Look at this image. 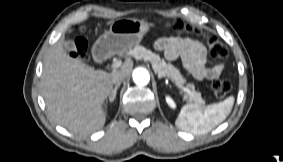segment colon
I'll return each mask as SVG.
<instances>
[{
	"mask_svg": "<svg viewBox=\"0 0 283 162\" xmlns=\"http://www.w3.org/2000/svg\"><path fill=\"white\" fill-rule=\"evenodd\" d=\"M167 27L177 34H195L202 36L208 45L209 52L214 58H225L228 54L226 46L218 40L217 37L203 34L201 31L194 29L181 20L169 23ZM73 57L80 61H85L88 58V47L84 40H78L72 52ZM213 94L217 99H223L230 95L232 84L226 79H217L212 83Z\"/></svg>",
	"mask_w": 283,
	"mask_h": 162,
	"instance_id": "colon-1",
	"label": "colon"
}]
</instances>
